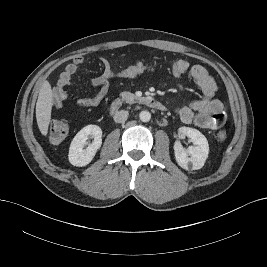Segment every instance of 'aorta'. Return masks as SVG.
<instances>
[{
  "label": "aorta",
  "mask_w": 267,
  "mask_h": 267,
  "mask_svg": "<svg viewBox=\"0 0 267 267\" xmlns=\"http://www.w3.org/2000/svg\"><path fill=\"white\" fill-rule=\"evenodd\" d=\"M139 118L142 122H148L151 119V114L149 111H141L139 114Z\"/></svg>",
  "instance_id": "aorta-1"
}]
</instances>
